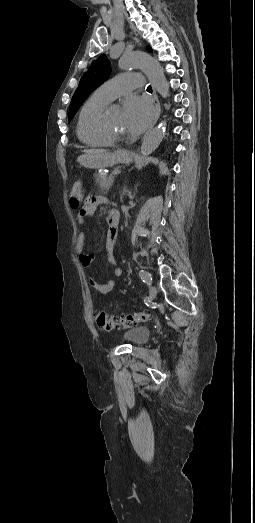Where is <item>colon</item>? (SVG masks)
<instances>
[{
  "mask_svg": "<svg viewBox=\"0 0 255 523\" xmlns=\"http://www.w3.org/2000/svg\"><path fill=\"white\" fill-rule=\"evenodd\" d=\"M84 199V184L79 178L75 179L70 189V205L73 208H78L82 204ZM96 323L102 330L111 331L116 329L120 325L139 324L146 322L151 319V314L143 312H135L121 317H114L109 313L100 310L95 316Z\"/></svg>",
  "mask_w": 255,
  "mask_h": 523,
  "instance_id": "5ec220e1",
  "label": "colon"
}]
</instances>
